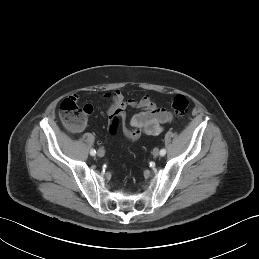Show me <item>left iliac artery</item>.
I'll return each mask as SVG.
<instances>
[{
    "label": "left iliac artery",
    "instance_id": "1",
    "mask_svg": "<svg viewBox=\"0 0 259 259\" xmlns=\"http://www.w3.org/2000/svg\"><path fill=\"white\" fill-rule=\"evenodd\" d=\"M165 154H166V150H165V149H161V150H160V155H161V156H164Z\"/></svg>",
    "mask_w": 259,
    "mask_h": 259
}]
</instances>
